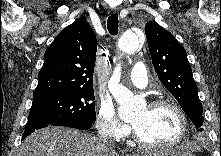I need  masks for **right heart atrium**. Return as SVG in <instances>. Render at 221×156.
<instances>
[{
    "mask_svg": "<svg viewBox=\"0 0 221 156\" xmlns=\"http://www.w3.org/2000/svg\"><path fill=\"white\" fill-rule=\"evenodd\" d=\"M95 122L101 135L115 140L123 139L131 130L127 123L119 119L113 103L107 99L99 101Z\"/></svg>",
    "mask_w": 221,
    "mask_h": 156,
    "instance_id": "1",
    "label": "right heart atrium"
}]
</instances>
